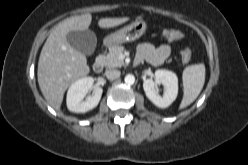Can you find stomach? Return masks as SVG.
Instances as JSON below:
<instances>
[{"instance_id": "obj_1", "label": "stomach", "mask_w": 248, "mask_h": 165, "mask_svg": "<svg viewBox=\"0 0 248 165\" xmlns=\"http://www.w3.org/2000/svg\"><path fill=\"white\" fill-rule=\"evenodd\" d=\"M147 29V22L139 19L111 33L104 39L107 46H114L126 42H132L140 38Z\"/></svg>"}]
</instances>
